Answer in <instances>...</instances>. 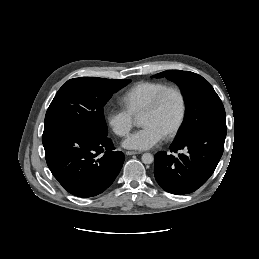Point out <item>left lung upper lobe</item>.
I'll use <instances>...</instances> for the list:
<instances>
[{"instance_id": "1", "label": "left lung upper lobe", "mask_w": 259, "mask_h": 259, "mask_svg": "<svg viewBox=\"0 0 259 259\" xmlns=\"http://www.w3.org/2000/svg\"><path fill=\"white\" fill-rule=\"evenodd\" d=\"M154 77H167L177 83L187 104V118L174 141L184 139L192 132L204 127L226 129V115L223 104L213 87L202 76L181 70H168Z\"/></svg>"}]
</instances>
